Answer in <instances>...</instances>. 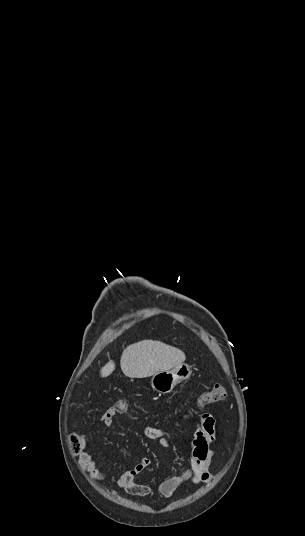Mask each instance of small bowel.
I'll use <instances>...</instances> for the list:
<instances>
[{"label": "small bowel", "instance_id": "obj_1", "mask_svg": "<svg viewBox=\"0 0 305 536\" xmlns=\"http://www.w3.org/2000/svg\"><path fill=\"white\" fill-rule=\"evenodd\" d=\"M114 414L115 411L112 408L107 409V411L103 413L102 418L106 421L105 425L112 423ZM144 434L150 440L159 441L165 448L170 446V442L165 436L162 428L149 426L144 430ZM219 438L220 431L215 418L209 413L201 414L192 434V455L189 465L185 468H180L177 475L170 477L161 483L159 486V493L163 498H171L176 490L189 480L194 484H200L208 482L211 479L209 466L214 456L212 445ZM80 442L81 464L92 478L107 481L124 489L132 496L143 497L152 493V488L150 486L140 483L137 480L138 476L150 466V458L141 457L131 469L119 475H109L97 467L96 461L87 447L86 439H80Z\"/></svg>", "mask_w": 305, "mask_h": 536}]
</instances>
